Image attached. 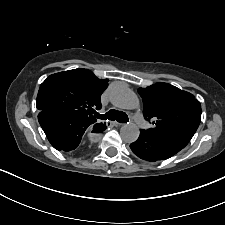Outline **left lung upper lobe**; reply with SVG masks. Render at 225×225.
Here are the masks:
<instances>
[{"mask_svg":"<svg viewBox=\"0 0 225 225\" xmlns=\"http://www.w3.org/2000/svg\"><path fill=\"white\" fill-rule=\"evenodd\" d=\"M146 120L153 127L144 130L152 136L192 139L201 121V105L194 95L168 83L139 88Z\"/></svg>","mask_w":225,"mask_h":225,"instance_id":"obj_1","label":"left lung upper lobe"}]
</instances>
